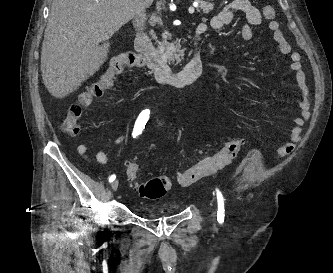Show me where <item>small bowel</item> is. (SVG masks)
I'll return each mask as SVG.
<instances>
[{
    "label": "small bowel",
    "mask_w": 333,
    "mask_h": 273,
    "mask_svg": "<svg viewBox=\"0 0 333 273\" xmlns=\"http://www.w3.org/2000/svg\"><path fill=\"white\" fill-rule=\"evenodd\" d=\"M236 11L242 12L246 18V23L243 24L240 29V35L243 40L250 41L253 38L252 26L260 25L262 20L268 19V17H266L264 10H260L252 6L248 0H231L226 5L221 7L210 21L200 24L197 28L201 32L207 31L209 29H222L233 21L234 13ZM269 29L273 35L274 40L279 45L280 52L282 54L290 55V69L296 76V81L300 93L299 116L293 121L289 140L284 142L277 150V156H285L290 154L295 149L296 144L301 139L304 122L309 117L310 92L306 83L303 66L300 61V54L298 52L292 51L291 45L285 39L279 24L276 21L269 24ZM77 151L84 159H89L87 144H80L77 148ZM96 160L102 165H107L109 163L108 156L102 150H99L96 153Z\"/></svg>",
    "instance_id": "1"
}]
</instances>
